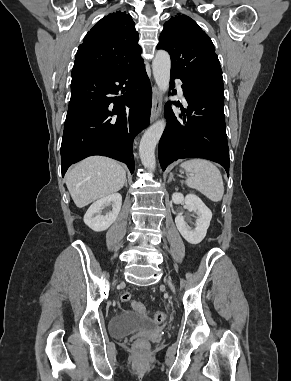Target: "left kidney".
Here are the masks:
<instances>
[{
	"instance_id": "left-kidney-1",
	"label": "left kidney",
	"mask_w": 291,
	"mask_h": 381,
	"mask_svg": "<svg viewBox=\"0 0 291 381\" xmlns=\"http://www.w3.org/2000/svg\"><path fill=\"white\" fill-rule=\"evenodd\" d=\"M172 201L175 204L185 203L189 211L197 214L194 227L189 226L182 215L175 218L177 229L182 237L190 244H199L206 236L207 229L212 218L211 210L203 201L194 194H188L185 197L181 193H173Z\"/></svg>"
}]
</instances>
